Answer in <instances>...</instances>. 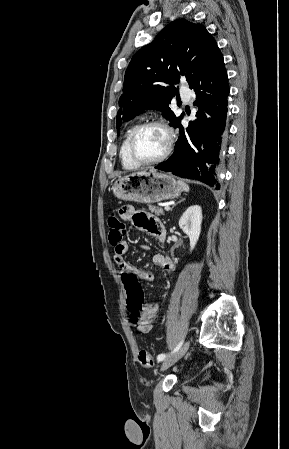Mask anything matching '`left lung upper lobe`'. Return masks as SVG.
Masks as SVG:
<instances>
[{
  "instance_id": "1",
  "label": "left lung upper lobe",
  "mask_w": 289,
  "mask_h": 449,
  "mask_svg": "<svg viewBox=\"0 0 289 449\" xmlns=\"http://www.w3.org/2000/svg\"><path fill=\"white\" fill-rule=\"evenodd\" d=\"M217 48L212 35L201 24L179 19L168 24L131 59L124 77L117 113V133L122 121L133 119L146 109H157L174 126L182 118L170 108L174 84L186 78L189 85L201 66Z\"/></svg>"
}]
</instances>
